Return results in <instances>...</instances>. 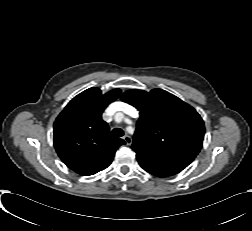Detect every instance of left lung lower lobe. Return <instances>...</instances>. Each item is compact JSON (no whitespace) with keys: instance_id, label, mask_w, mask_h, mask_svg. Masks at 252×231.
<instances>
[{"instance_id":"left-lung-lower-lobe-1","label":"left lung lower lobe","mask_w":252,"mask_h":231,"mask_svg":"<svg viewBox=\"0 0 252 231\" xmlns=\"http://www.w3.org/2000/svg\"><path fill=\"white\" fill-rule=\"evenodd\" d=\"M137 160L144 170L158 177L175 175L190 164V162L187 161L170 158H148L137 156Z\"/></svg>"}]
</instances>
